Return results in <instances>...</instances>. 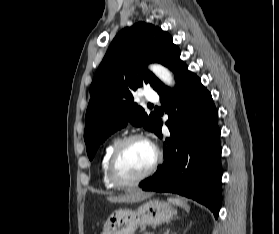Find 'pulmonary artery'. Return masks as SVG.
I'll return each instance as SVG.
<instances>
[{
	"label": "pulmonary artery",
	"mask_w": 279,
	"mask_h": 234,
	"mask_svg": "<svg viewBox=\"0 0 279 234\" xmlns=\"http://www.w3.org/2000/svg\"><path fill=\"white\" fill-rule=\"evenodd\" d=\"M144 98L148 101H157L158 95L156 93H152V92H145Z\"/></svg>",
	"instance_id": "e3ab8cb5"
}]
</instances>
